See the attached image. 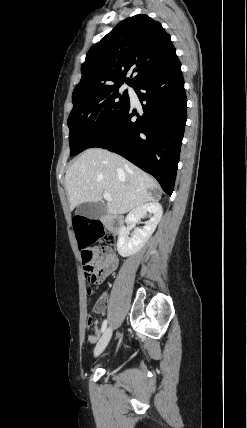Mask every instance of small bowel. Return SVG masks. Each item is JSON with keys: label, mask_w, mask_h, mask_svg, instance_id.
<instances>
[{"label": "small bowel", "mask_w": 247, "mask_h": 428, "mask_svg": "<svg viewBox=\"0 0 247 428\" xmlns=\"http://www.w3.org/2000/svg\"><path fill=\"white\" fill-rule=\"evenodd\" d=\"M101 255L106 259V264L102 270L101 278L97 283H100L105 278H107L118 267V258L112 249L103 248L101 250ZM104 307H105V299H101L99 301V303L97 304L95 310H96V312L100 313L103 311ZM87 339L90 343H95L98 339V335L97 334H90V335H88Z\"/></svg>", "instance_id": "small-bowel-1"}]
</instances>
